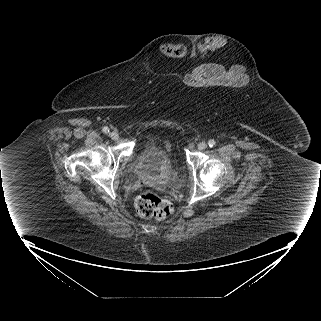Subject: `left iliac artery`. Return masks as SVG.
I'll return each instance as SVG.
<instances>
[{
	"mask_svg": "<svg viewBox=\"0 0 321 321\" xmlns=\"http://www.w3.org/2000/svg\"><path fill=\"white\" fill-rule=\"evenodd\" d=\"M215 144H216V142H215V140H213V139H211V140L208 141V146H209V147H213V146H215Z\"/></svg>",
	"mask_w": 321,
	"mask_h": 321,
	"instance_id": "left-iliac-artery-1",
	"label": "left iliac artery"
}]
</instances>
